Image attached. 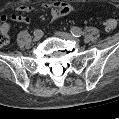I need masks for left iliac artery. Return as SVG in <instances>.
<instances>
[{
  "mask_svg": "<svg viewBox=\"0 0 119 119\" xmlns=\"http://www.w3.org/2000/svg\"><path fill=\"white\" fill-rule=\"evenodd\" d=\"M75 37H81L84 32L78 27H72L70 31Z\"/></svg>",
  "mask_w": 119,
  "mask_h": 119,
  "instance_id": "left-iliac-artery-1",
  "label": "left iliac artery"
}]
</instances>
